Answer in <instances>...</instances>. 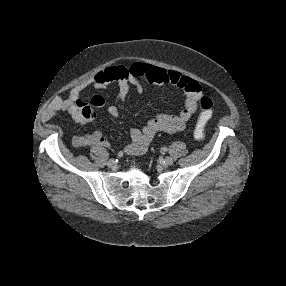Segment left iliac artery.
Here are the masks:
<instances>
[{
  "label": "left iliac artery",
  "instance_id": "obj_1",
  "mask_svg": "<svg viewBox=\"0 0 286 286\" xmlns=\"http://www.w3.org/2000/svg\"><path fill=\"white\" fill-rule=\"evenodd\" d=\"M162 150H163L164 152H167V151H168V149H167L166 147H163Z\"/></svg>",
  "mask_w": 286,
  "mask_h": 286
}]
</instances>
